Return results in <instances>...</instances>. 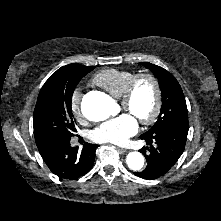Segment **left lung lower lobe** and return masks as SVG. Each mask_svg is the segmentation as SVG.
Returning a JSON list of instances; mask_svg holds the SVG:
<instances>
[{"label": "left lung lower lobe", "mask_w": 221, "mask_h": 221, "mask_svg": "<svg viewBox=\"0 0 221 221\" xmlns=\"http://www.w3.org/2000/svg\"><path fill=\"white\" fill-rule=\"evenodd\" d=\"M188 130L189 123L179 122L153 133L142 134L140 138L149 145L140 150L145 155L147 166L143 171L134 174L147 180L166 174L182 155Z\"/></svg>", "instance_id": "1"}]
</instances>
